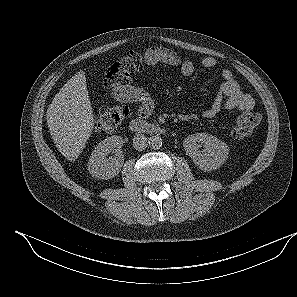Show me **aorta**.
<instances>
[{
  "label": "aorta",
  "mask_w": 297,
  "mask_h": 297,
  "mask_svg": "<svg viewBox=\"0 0 297 297\" xmlns=\"http://www.w3.org/2000/svg\"><path fill=\"white\" fill-rule=\"evenodd\" d=\"M148 143L152 149H160L162 146V138L158 135H153L149 138Z\"/></svg>",
  "instance_id": "aorta-1"
}]
</instances>
